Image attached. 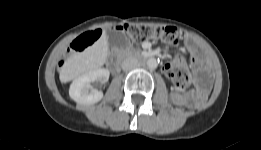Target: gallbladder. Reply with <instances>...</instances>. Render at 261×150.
<instances>
[{
    "label": "gallbladder",
    "mask_w": 261,
    "mask_h": 150,
    "mask_svg": "<svg viewBox=\"0 0 261 150\" xmlns=\"http://www.w3.org/2000/svg\"><path fill=\"white\" fill-rule=\"evenodd\" d=\"M109 49L123 50L127 46V40L123 32L116 30H109L106 33Z\"/></svg>",
    "instance_id": "gallbladder-1"
}]
</instances>
